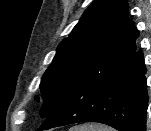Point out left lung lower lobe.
<instances>
[{"instance_id":"left-lung-lower-lobe-1","label":"left lung lower lobe","mask_w":151,"mask_h":131,"mask_svg":"<svg viewBox=\"0 0 151 131\" xmlns=\"http://www.w3.org/2000/svg\"><path fill=\"white\" fill-rule=\"evenodd\" d=\"M145 72L143 54L137 50L131 60L117 67L88 71L37 131L79 122L103 123L119 131H146Z\"/></svg>"}]
</instances>
